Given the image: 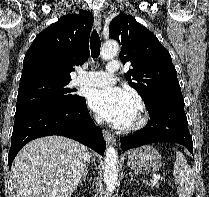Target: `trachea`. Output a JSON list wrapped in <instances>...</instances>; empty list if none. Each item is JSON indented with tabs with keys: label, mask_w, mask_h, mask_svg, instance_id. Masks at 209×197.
I'll return each instance as SVG.
<instances>
[{
	"label": "trachea",
	"mask_w": 209,
	"mask_h": 197,
	"mask_svg": "<svg viewBox=\"0 0 209 197\" xmlns=\"http://www.w3.org/2000/svg\"><path fill=\"white\" fill-rule=\"evenodd\" d=\"M101 41L96 30H93L90 39L91 55L95 59L100 54Z\"/></svg>",
	"instance_id": "3493384b"
}]
</instances>
